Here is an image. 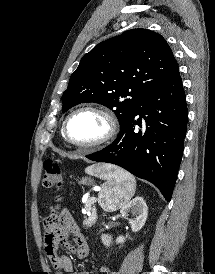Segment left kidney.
<instances>
[{"instance_id": "obj_1", "label": "left kidney", "mask_w": 215, "mask_h": 274, "mask_svg": "<svg viewBox=\"0 0 215 274\" xmlns=\"http://www.w3.org/2000/svg\"><path fill=\"white\" fill-rule=\"evenodd\" d=\"M120 213L123 217H127L131 213L133 215L132 219H129V223L131 225V229L133 232L139 231L145 224L147 215H148V207L146 202L142 197H136L126 205H124ZM124 236H119L116 239L117 244H122L125 242ZM101 240L103 244L107 247L112 243V238L109 235L102 234Z\"/></svg>"}]
</instances>
